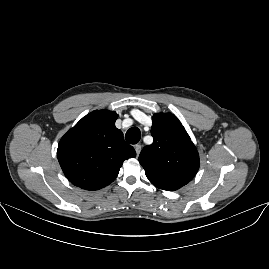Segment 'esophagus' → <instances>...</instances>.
Returning <instances> with one entry per match:
<instances>
[{"label": "esophagus", "mask_w": 269, "mask_h": 269, "mask_svg": "<svg viewBox=\"0 0 269 269\" xmlns=\"http://www.w3.org/2000/svg\"><path fill=\"white\" fill-rule=\"evenodd\" d=\"M134 149H135V151H136V157L138 158V156H139V154H140V152H141V145H135L134 146Z\"/></svg>", "instance_id": "34e87169"}]
</instances>
